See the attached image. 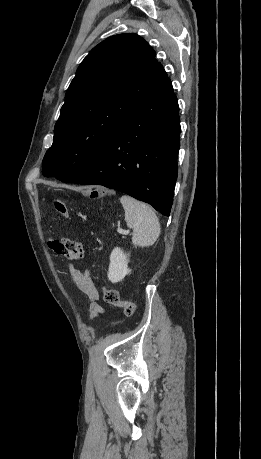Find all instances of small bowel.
<instances>
[{"instance_id":"obj_1","label":"small bowel","mask_w":261,"mask_h":459,"mask_svg":"<svg viewBox=\"0 0 261 459\" xmlns=\"http://www.w3.org/2000/svg\"><path fill=\"white\" fill-rule=\"evenodd\" d=\"M49 246L57 253L64 255L69 260H80L84 257V251L77 241L66 238L61 241L51 240ZM71 277L76 286L89 298L90 315L95 317L103 312V308L97 303L98 292L93 284L89 271L81 272L73 265H69Z\"/></svg>"}]
</instances>
